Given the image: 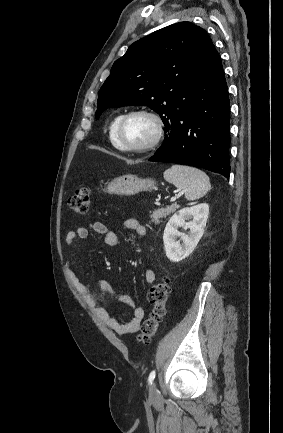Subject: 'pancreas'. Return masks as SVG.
Returning a JSON list of instances; mask_svg holds the SVG:
<instances>
[{
  "mask_svg": "<svg viewBox=\"0 0 283 433\" xmlns=\"http://www.w3.org/2000/svg\"><path fill=\"white\" fill-rule=\"evenodd\" d=\"M178 208V204H171V206H167V208H155L152 210V214H150V219H152V223H158L160 219L163 217H167V214L170 212H174Z\"/></svg>",
  "mask_w": 283,
  "mask_h": 433,
  "instance_id": "cf45deb5",
  "label": "pancreas"
}]
</instances>
